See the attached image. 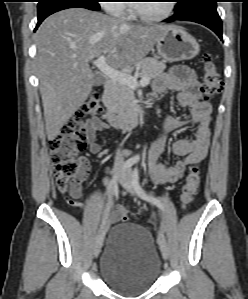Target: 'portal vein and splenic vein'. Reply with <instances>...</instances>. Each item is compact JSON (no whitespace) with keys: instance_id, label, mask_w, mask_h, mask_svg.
Here are the masks:
<instances>
[{"instance_id":"18ae733b","label":"portal vein and splenic vein","mask_w":248,"mask_h":299,"mask_svg":"<svg viewBox=\"0 0 248 299\" xmlns=\"http://www.w3.org/2000/svg\"><path fill=\"white\" fill-rule=\"evenodd\" d=\"M93 64L109 79L128 85L131 88L145 86L150 82V79L148 77H142L141 80L138 81L137 76H131L128 73L119 71L111 67L106 62L104 55H101L98 57V59L94 60Z\"/></svg>"}]
</instances>
